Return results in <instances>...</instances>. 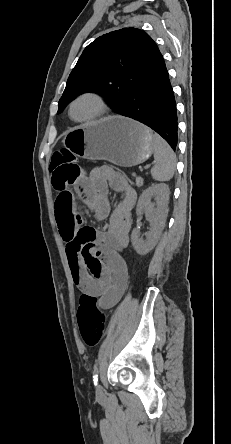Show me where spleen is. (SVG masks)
I'll return each instance as SVG.
<instances>
[{
    "instance_id": "spleen-1",
    "label": "spleen",
    "mask_w": 231,
    "mask_h": 444,
    "mask_svg": "<svg viewBox=\"0 0 231 444\" xmlns=\"http://www.w3.org/2000/svg\"><path fill=\"white\" fill-rule=\"evenodd\" d=\"M153 139L155 165L151 169V175L157 181H169L176 169V155L159 135L154 134Z\"/></svg>"
}]
</instances>
